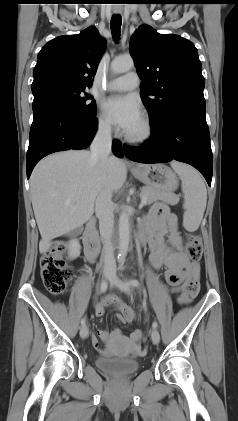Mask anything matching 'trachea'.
<instances>
[{
	"mask_svg": "<svg viewBox=\"0 0 238 421\" xmlns=\"http://www.w3.org/2000/svg\"><path fill=\"white\" fill-rule=\"evenodd\" d=\"M122 18L120 15H113L111 18V31L115 40L119 39Z\"/></svg>",
	"mask_w": 238,
	"mask_h": 421,
	"instance_id": "1",
	"label": "trachea"
}]
</instances>
